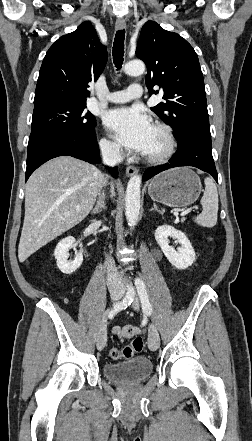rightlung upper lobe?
<instances>
[{"label": "right lung upper lobe", "instance_id": "right-lung-upper-lobe-1", "mask_svg": "<svg viewBox=\"0 0 252 441\" xmlns=\"http://www.w3.org/2000/svg\"><path fill=\"white\" fill-rule=\"evenodd\" d=\"M107 62V50L89 21L60 37L47 51L39 72L34 105L48 101L86 102L89 83Z\"/></svg>", "mask_w": 252, "mask_h": 441}]
</instances>
